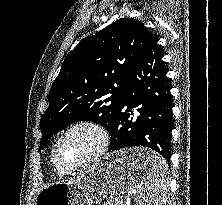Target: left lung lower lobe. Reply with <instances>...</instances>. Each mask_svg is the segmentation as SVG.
Masks as SVG:
<instances>
[{"instance_id":"obj_1","label":"left lung lower lobe","mask_w":222,"mask_h":205,"mask_svg":"<svg viewBox=\"0 0 222 205\" xmlns=\"http://www.w3.org/2000/svg\"><path fill=\"white\" fill-rule=\"evenodd\" d=\"M151 35L130 69L123 86L119 111L112 129L110 151L131 146L154 149L169 161L172 125L171 86L163 54ZM124 107H127L124 109ZM140 112L130 117L132 108Z\"/></svg>"}]
</instances>
